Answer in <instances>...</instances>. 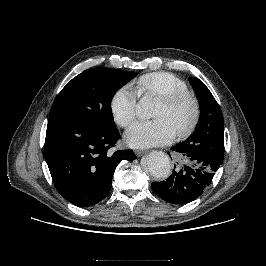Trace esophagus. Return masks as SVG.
I'll return each instance as SVG.
<instances>
[{
    "label": "esophagus",
    "mask_w": 266,
    "mask_h": 266,
    "mask_svg": "<svg viewBox=\"0 0 266 266\" xmlns=\"http://www.w3.org/2000/svg\"><path fill=\"white\" fill-rule=\"evenodd\" d=\"M144 153H146L145 150H141V149H137V150H135V154H136L138 157L142 156Z\"/></svg>",
    "instance_id": "1"
}]
</instances>
